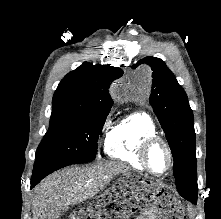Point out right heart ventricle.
Masks as SVG:
<instances>
[{
    "label": "right heart ventricle",
    "mask_w": 221,
    "mask_h": 219,
    "mask_svg": "<svg viewBox=\"0 0 221 219\" xmlns=\"http://www.w3.org/2000/svg\"><path fill=\"white\" fill-rule=\"evenodd\" d=\"M152 135H157V128L150 115L145 112L130 113L117 121L107 132L105 153L113 160L145 171L138 150L142 140Z\"/></svg>",
    "instance_id": "1"
}]
</instances>
